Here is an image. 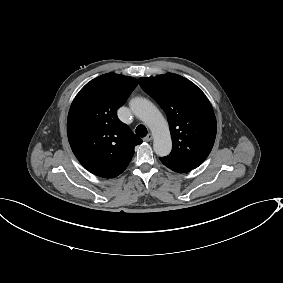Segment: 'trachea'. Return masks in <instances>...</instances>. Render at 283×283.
Segmentation results:
<instances>
[{
	"label": "trachea",
	"mask_w": 283,
	"mask_h": 283,
	"mask_svg": "<svg viewBox=\"0 0 283 283\" xmlns=\"http://www.w3.org/2000/svg\"><path fill=\"white\" fill-rule=\"evenodd\" d=\"M135 132L139 137H145L148 133L146 127L142 124L136 127Z\"/></svg>",
	"instance_id": "trachea-1"
}]
</instances>
